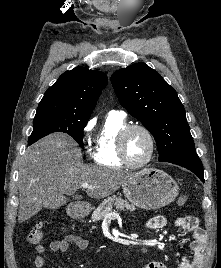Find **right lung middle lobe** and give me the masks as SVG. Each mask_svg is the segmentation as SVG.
Instances as JSON below:
<instances>
[{"label": "right lung middle lobe", "instance_id": "dd1d6c3e", "mask_svg": "<svg viewBox=\"0 0 221 268\" xmlns=\"http://www.w3.org/2000/svg\"><path fill=\"white\" fill-rule=\"evenodd\" d=\"M88 119L89 117L62 111H37L28 144H32L50 133L63 132L72 136L80 147L84 148L83 129Z\"/></svg>", "mask_w": 221, "mask_h": 268}]
</instances>
